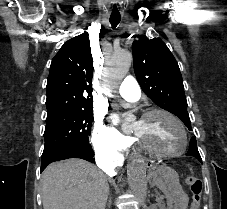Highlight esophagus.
I'll return each mask as SVG.
<instances>
[{
  "mask_svg": "<svg viewBox=\"0 0 227 209\" xmlns=\"http://www.w3.org/2000/svg\"><path fill=\"white\" fill-rule=\"evenodd\" d=\"M155 166L154 162H148V160H145V163L143 164V169H152V167Z\"/></svg>",
  "mask_w": 227,
  "mask_h": 209,
  "instance_id": "34e87169",
  "label": "esophagus"
}]
</instances>
